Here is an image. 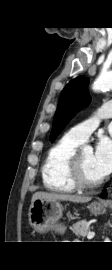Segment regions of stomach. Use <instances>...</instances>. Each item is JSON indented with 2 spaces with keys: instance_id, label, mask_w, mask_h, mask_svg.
<instances>
[{
  "instance_id": "1",
  "label": "stomach",
  "mask_w": 112,
  "mask_h": 270,
  "mask_svg": "<svg viewBox=\"0 0 112 270\" xmlns=\"http://www.w3.org/2000/svg\"><path fill=\"white\" fill-rule=\"evenodd\" d=\"M89 209L94 215L103 214L106 210L105 206L97 201L92 202ZM62 212L63 207L59 200L36 199L29 208V223L39 233L49 230L63 232L65 226L60 222Z\"/></svg>"
}]
</instances>
